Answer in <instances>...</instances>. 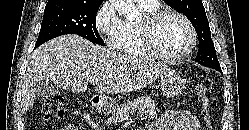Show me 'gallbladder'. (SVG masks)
Instances as JSON below:
<instances>
[{
  "label": "gallbladder",
  "mask_w": 249,
  "mask_h": 130,
  "mask_svg": "<svg viewBox=\"0 0 249 130\" xmlns=\"http://www.w3.org/2000/svg\"><path fill=\"white\" fill-rule=\"evenodd\" d=\"M59 93V90L57 87H55L53 84L41 81L38 84L37 90H36V96L41 98H48L55 96Z\"/></svg>",
  "instance_id": "gallbladder-1"
}]
</instances>
